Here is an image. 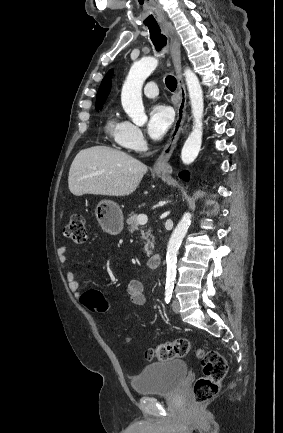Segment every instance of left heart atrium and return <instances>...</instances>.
I'll list each match as a JSON object with an SVG mask.
<instances>
[{
  "mask_svg": "<svg viewBox=\"0 0 283 433\" xmlns=\"http://www.w3.org/2000/svg\"><path fill=\"white\" fill-rule=\"evenodd\" d=\"M172 123V113L169 107L155 104L150 108L147 132L151 139L161 140Z\"/></svg>",
  "mask_w": 283,
  "mask_h": 433,
  "instance_id": "1",
  "label": "left heart atrium"
}]
</instances>
